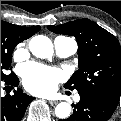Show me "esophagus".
Wrapping results in <instances>:
<instances>
[{
    "mask_svg": "<svg viewBox=\"0 0 121 121\" xmlns=\"http://www.w3.org/2000/svg\"><path fill=\"white\" fill-rule=\"evenodd\" d=\"M48 103L51 105H55L57 102L56 101H49Z\"/></svg>",
    "mask_w": 121,
    "mask_h": 121,
    "instance_id": "34e87169",
    "label": "esophagus"
}]
</instances>
